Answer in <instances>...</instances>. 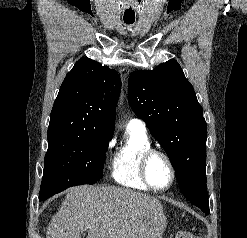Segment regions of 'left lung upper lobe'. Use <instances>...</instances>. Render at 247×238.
<instances>
[{
  "mask_svg": "<svg viewBox=\"0 0 247 238\" xmlns=\"http://www.w3.org/2000/svg\"><path fill=\"white\" fill-rule=\"evenodd\" d=\"M129 103L161 144L187 200L210 213L206 185L207 125L192 85L174 59L132 73Z\"/></svg>",
  "mask_w": 247,
  "mask_h": 238,
  "instance_id": "obj_1",
  "label": "left lung upper lobe"
}]
</instances>
